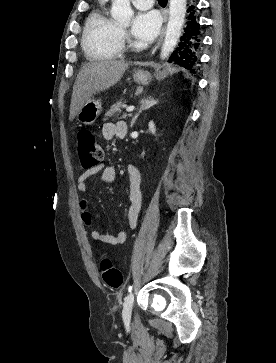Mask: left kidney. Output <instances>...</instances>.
I'll return each instance as SVG.
<instances>
[{"instance_id": "5707ae66", "label": "left kidney", "mask_w": 276, "mask_h": 363, "mask_svg": "<svg viewBox=\"0 0 276 363\" xmlns=\"http://www.w3.org/2000/svg\"><path fill=\"white\" fill-rule=\"evenodd\" d=\"M148 127H149V131L150 133L152 134H156V127H155V124L153 121H150L149 124H148Z\"/></svg>"}]
</instances>
